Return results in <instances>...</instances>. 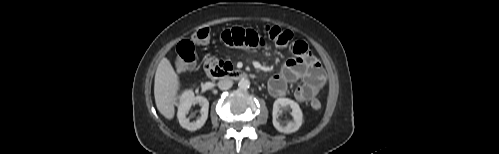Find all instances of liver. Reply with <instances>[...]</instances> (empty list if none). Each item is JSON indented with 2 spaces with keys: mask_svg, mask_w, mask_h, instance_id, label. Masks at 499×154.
<instances>
[{
  "mask_svg": "<svg viewBox=\"0 0 499 154\" xmlns=\"http://www.w3.org/2000/svg\"><path fill=\"white\" fill-rule=\"evenodd\" d=\"M180 88L179 76L167 58H163L156 70L154 97L157 109L167 119L175 115V100Z\"/></svg>",
  "mask_w": 499,
  "mask_h": 154,
  "instance_id": "6515ba94",
  "label": "liver"
}]
</instances>
